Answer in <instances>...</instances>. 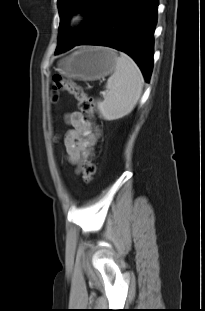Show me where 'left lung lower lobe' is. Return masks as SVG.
<instances>
[{"label":"left lung lower lobe","instance_id":"obj_1","mask_svg":"<svg viewBox=\"0 0 205 311\" xmlns=\"http://www.w3.org/2000/svg\"><path fill=\"white\" fill-rule=\"evenodd\" d=\"M157 6L158 0H115L103 20L76 45H102L121 50L135 60L149 81Z\"/></svg>","mask_w":205,"mask_h":311}]
</instances>
